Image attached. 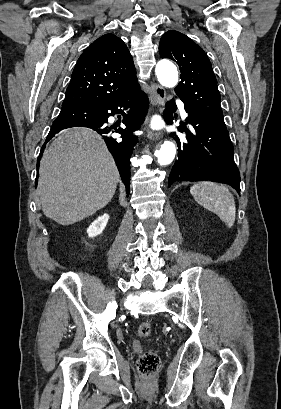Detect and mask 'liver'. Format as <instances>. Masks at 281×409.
I'll use <instances>...</instances> for the list:
<instances>
[{
    "instance_id": "liver-1",
    "label": "liver",
    "mask_w": 281,
    "mask_h": 409,
    "mask_svg": "<svg viewBox=\"0 0 281 409\" xmlns=\"http://www.w3.org/2000/svg\"><path fill=\"white\" fill-rule=\"evenodd\" d=\"M37 194L45 217L74 225L110 202L119 180L106 144L95 130L69 128L42 156Z\"/></svg>"
}]
</instances>
